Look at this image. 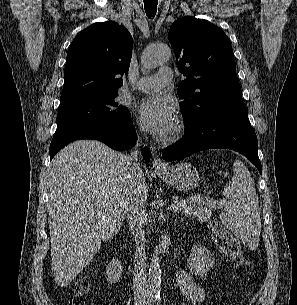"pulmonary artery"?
Returning <instances> with one entry per match:
<instances>
[{
    "label": "pulmonary artery",
    "instance_id": "1",
    "mask_svg": "<svg viewBox=\"0 0 297 305\" xmlns=\"http://www.w3.org/2000/svg\"><path fill=\"white\" fill-rule=\"evenodd\" d=\"M172 78V71L169 68H161L154 75L141 77L137 81V89L143 92L158 91L171 83Z\"/></svg>",
    "mask_w": 297,
    "mask_h": 305
}]
</instances>
